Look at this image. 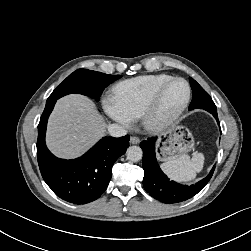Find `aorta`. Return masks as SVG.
Listing matches in <instances>:
<instances>
[{
  "label": "aorta",
  "mask_w": 251,
  "mask_h": 251,
  "mask_svg": "<svg viewBox=\"0 0 251 251\" xmlns=\"http://www.w3.org/2000/svg\"><path fill=\"white\" fill-rule=\"evenodd\" d=\"M127 159L138 162L142 159L143 151L139 146H130L126 151Z\"/></svg>",
  "instance_id": "762f6f07"
}]
</instances>
